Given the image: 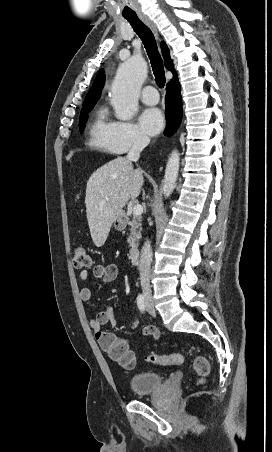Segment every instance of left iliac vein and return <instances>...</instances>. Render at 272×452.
Returning <instances> with one entry per match:
<instances>
[{"instance_id":"obj_1","label":"left iliac vein","mask_w":272,"mask_h":452,"mask_svg":"<svg viewBox=\"0 0 272 452\" xmlns=\"http://www.w3.org/2000/svg\"><path fill=\"white\" fill-rule=\"evenodd\" d=\"M147 311L150 315L155 316V310L151 303H147Z\"/></svg>"}]
</instances>
